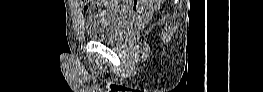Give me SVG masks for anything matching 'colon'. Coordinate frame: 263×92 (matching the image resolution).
I'll use <instances>...</instances> for the list:
<instances>
[{"label": "colon", "instance_id": "colon-1", "mask_svg": "<svg viewBox=\"0 0 263 92\" xmlns=\"http://www.w3.org/2000/svg\"><path fill=\"white\" fill-rule=\"evenodd\" d=\"M133 2V9L138 10L142 4L147 1H132Z\"/></svg>", "mask_w": 263, "mask_h": 92}]
</instances>
